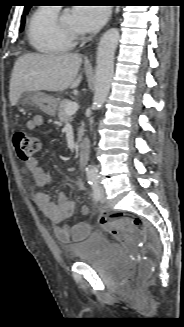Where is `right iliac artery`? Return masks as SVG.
Here are the masks:
<instances>
[{"label": "right iliac artery", "instance_id": "right-iliac-artery-1", "mask_svg": "<svg viewBox=\"0 0 184 327\" xmlns=\"http://www.w3.org/2000/svg\"><path fill=\"white\" fill-rule=\"evenodd\" d=\"M93 178H89V181H91Z\"/></svg>", "mask_w": 184, "mask_h": 327}]
</instances>
